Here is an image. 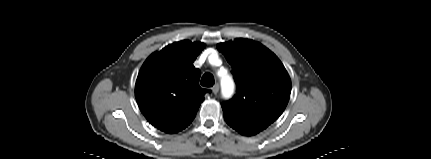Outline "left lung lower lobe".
I'll use <instances>...</instances> for the list:
<instances>
[{"label":"left lung lower lobe","mask_w":431,"mask_h":159,"mask_svg":"<svg viewBox=\"0 0 431 159\" xmlns=\"http://www.w3.org/2000/svg\"><path fill=\"white\" fill-rule=\"evenodd\" d=\"M242 135H246V136H251V135H255L256 133H252V132H243L241 133Z\"/></svg>","instance_id":"0a47b994"}]
</instances>
